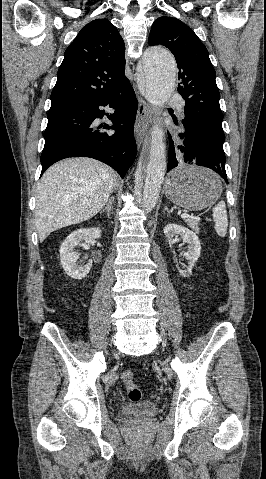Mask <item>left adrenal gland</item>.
Instances as JSON below:
<instances>
[{"label":"left adrenal gland","instance_id":"1","mask_svg":"<svg viewBox=\"0 0 266 479\" xmlns=\"http://www.w3.org/2000/svg\"><path fill=\"white\" fill-rule=\"evenodd\" d=\"M165 211H167V213H168V214H170V211H169V209H168V207H167V206H165V207H164V210H163V212H165Z\"/></svg>","mask_w":266,"mask_h":479}]
</instances>
